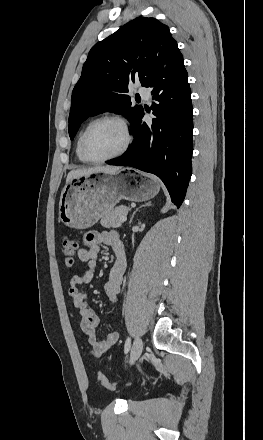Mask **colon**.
I'll return each instance as SVG.
<instances>
[{"label": "colon", "instance_id": "5ec220e1", "mask_svg": "<svg viewBox=\"0 0 263 440\" xmlns=\"http://www.w3.org/2000/svg\"><path fill=\"white\" fill-rule=\"evenodd\" d=\"M61 251L68 266H73L75 263V254L77 251V242L70 236H64L61 241ZM97 381L101 387L107 390H115L117 384L109 381L102 373H98Z\"/></svg>", "mask_w": 263, "mask_h": 440}]
</instances>
